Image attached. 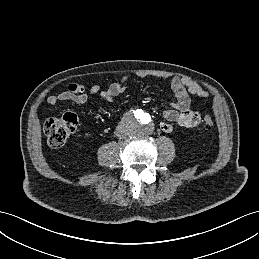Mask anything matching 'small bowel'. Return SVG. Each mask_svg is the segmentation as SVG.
<instances>
[{
	"label": "small bowel",
	"instance_id": "obj_1",
	"mask_svg": "<svg viewBox=\"0 0 259 259\" xmlns=\"http://www.w3.org/2000/svg\"><path fill=\"white\" fill-rule=\"evenodd\" d=\"M138 76L144 77L152 75L169 81L171 88L177 98L172 104V108L163 111V121L160 123V128L165 133L173 131V123L178 124L184 128H194L201 122L200 114L191 109L190 95H197L200 97H207L208 92L196 82L183 77H177L168 72H154L146 73L139 71ZM127 77L120 81L112 83L107 89L101 90L99 84L93 85L87 92L85 87L79 83H71L66 90L51 95L47 98V103L54 106L60 102H72L75 104H85L91 96L100 95L107 102H111L115 97L121 95L125 91V84Z\"/></svg>",
	"mask_w": 259,
	"mask_h": 259
}]
</instances>
